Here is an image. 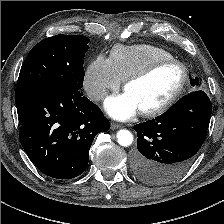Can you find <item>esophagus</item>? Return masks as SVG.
<instances>
[{
  "instance_id": "esophagus-1",
  "label": "esophagus",
  "mask_w": 224,
  "mask_h": 224,
  "mask_svg": "<svg viewBox=\"0 0 224 224\" xmlns=\"http://www.w3.org/2000/svg\"><path fill=\"white\" fill-rule=\"evenodd\" d=\"M122 126L120 125V124H118V123H111V125H110V128L112 129V130H116V129H119V128H121Z\"/></svg>"
}]
</instances>
